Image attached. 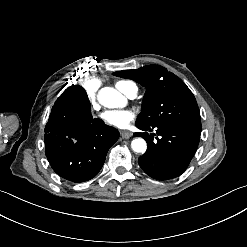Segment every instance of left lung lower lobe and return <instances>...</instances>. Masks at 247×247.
I'll list each match as a JSON object with an SVG mask.
<instances>
[{"label": "left lung lower lobe", "mask_w": 247, "mask_h": 247, "mask_svg": "<svg viewBox=\"0 0 247 247\" xmlns=\"http://www.w3.org/2000/svg\"><path fill=\"white\" fill-rule=\"evenodd\" d=\"M143 131L152 128L138 127ZM156 134L135 133L147 141V151L139 157L142 170L157 180H168L180 176L193 158L200 140V133L179 126H159ZM157 141L154 140V136Z\"/></svg>", "instance_id": "0a47b994"}]
</instances>
